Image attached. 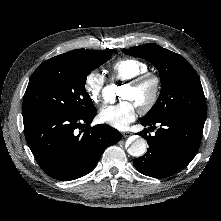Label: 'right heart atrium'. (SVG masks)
Masks as SVG:
<instances>
[{
    "mask_svg": "<svg viewBox=\"0 0 221 221\" xmlns=\"http://www.w3.org/2000/svg\"><path fill=\"white\" fill-rule=\"evenodd\" d=\"M104 86L105 77L97 70L90 71L84 78V91L93 103L101 101Z\"/></svg>",
    "mask_w": 221,
    "mask_h": 221,
    "instance_id": "right-heart-atrium-1",
    "label": "right heart atrium"
}]
</instances>
